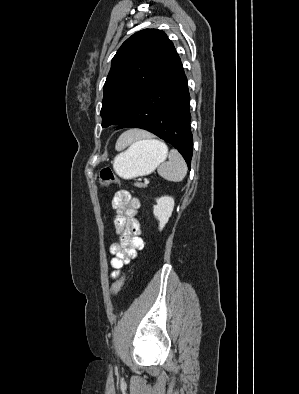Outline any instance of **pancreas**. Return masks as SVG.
Instances as JSON below:
<instances>
[{
    "label": "pancreas",
    "mask_w": 299,
    "mask_h": 394,
    "mask_svg": "<svg viewBox=\"0 0 299 394\" xmlns=\"http://www.w3.org/2000/svg\"><path fill=\"white\" fill-rule=\"evenodd\" d=\"M136 187H139V188H143V187H146L147 186V184H143V183H135L134 184Z\"/></svg>",
    "instance_id": "obj_1"
}]
</instances>
